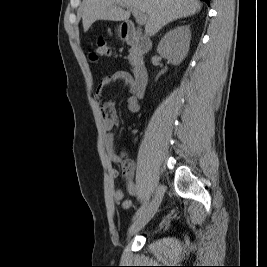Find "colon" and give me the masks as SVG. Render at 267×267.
<instances>
[{
    "instance_id": "colon-1",
    "label": "colon",
    "mask_w": 267,
    "mask_h": 267,
    "mask_svg": "<svg viewBox=\"0 0 267 267\" xmlns=\"http://www.w3.org/2000/svg\"><path fill=\"white\" fill-rule=\"evenodd\" d=\"M110 54V47L103 38H99L96 41L95 48L91 53L92 60H98L99 58L106 57Z\"/></svg>"
}]
</instances>
